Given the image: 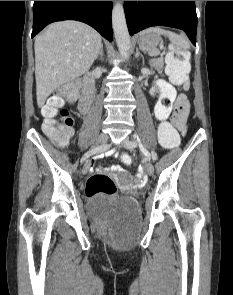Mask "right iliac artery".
<instances>
[{
    "instance_id": "1",
    "label": "right iliac artery",
    "mask_w": 233,
    "mask_h": 295,
    "mask_svg": "<svg viewBox=\"0 0 233 295\" xmlns=\"http://www.w3.org/2000/svg\"><path fill=\"white\" fill-rule=\"evenodd\" d=\"M101 147H104V144H101ZM107 148V146H105ZM95 153H103L102 148L96 147V148H91L90 151H88L87 153L84 154V156L81 159V163H83V161H85L86 158H88L89 156L95 154Z\"/></svg>"
}]
</instances>
